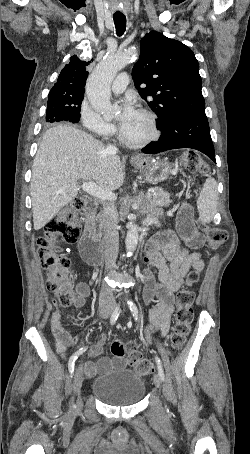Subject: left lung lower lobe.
<instances>
[{"mask_svg":"<svg viewBox=\"0 0 250 454\" xmlns=\"http://www.w3.org/2000/svg\"><path fill=\"white\" fill-rule=\"evenodd\" d=\"M162 134L157 142L146 145L142 152L157 154L177 148H192L206 154L216 163L205 111L183 113L160 128Z\"/></svg>","mask_w":250,"mask_h":454,"instance_id":"obj_1","label":"left lung lower lobe"}]
</instances>
